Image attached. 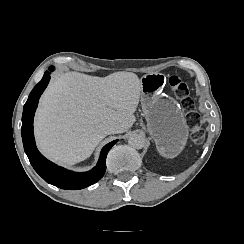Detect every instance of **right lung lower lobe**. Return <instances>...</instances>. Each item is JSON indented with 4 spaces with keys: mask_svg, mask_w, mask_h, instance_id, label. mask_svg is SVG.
Wrapping results in <instances>:
<instances>
[{
    "mask_svg": "<svg viewBox=\"0 0 244 244\" xmlns=\"http://www.w3.org/2000/svg\"><path fill=\"white\" fill-rule=\"evenodd\" d=\"M49 70L53 71L54 67H49ZM49 80L50 72L46 71L42 80L31 91L24 105L21 128L24 150L35 171L46 182L62 189H82L96 183L103 177L106 171L107 153L117 140L103 147L96 167L85 173L66 170L47 160L36 148L33 134V118L40 95L48 85Z\"/></svg>",
    "mask_w": 244,
    "mask_h": 244,
    "instance_id": "1",
    "label": "right lung lower lobe"
}]
</instances>
